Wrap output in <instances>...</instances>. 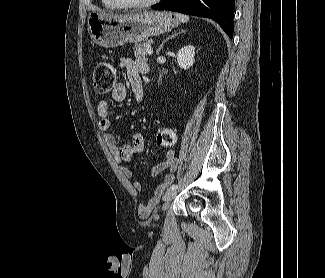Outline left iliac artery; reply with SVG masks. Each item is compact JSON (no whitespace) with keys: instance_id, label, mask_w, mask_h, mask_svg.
<instances>
[{"instance_id":"left-iliac-artery-1","label":"left iliac artery","mask_w":325,"mask_h":278,"mask_svg":"<svg viewBox=\"0 0 325 278\" xmlns=\"http://www.w3.org/2000/svg\"><path fill=\"white\" fill-rule=\"evenodd\" d=\"M178 187H179V186H178L177 184H173V185L170 186L169 189L174 190V189H178Z\"/></svg>"}]
</instances>
